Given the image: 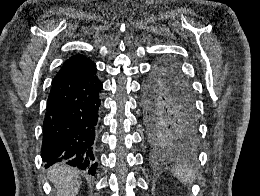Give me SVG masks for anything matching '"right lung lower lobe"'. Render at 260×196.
Here are the masks:
<instances>
[{
  "mask_svg": "<svg viewBox=\"0 0 260 196\" xmlns=\"http://www.w3.org/2000/svg\"><path fill=\"white\" fill-rule=\"evenodd\" d=\"M96 71L52 83L41 149L46 168L66 162L95 175V137L102 89Z\"/></svg>",
  "mask_w": 260,
  "mask_h": 196,
  "instance_id": "obj_1",
  "label": "right lung lower lobe"
}]
</instances>
